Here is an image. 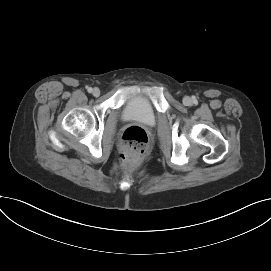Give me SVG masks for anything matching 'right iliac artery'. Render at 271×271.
<instances>
[{"mask_svg":"<svg viewBox=\"0 0 271 271\" xmlns=\"http://www.w3.org/2000/svg\"><path fill=\"white\" fill-rule=\"evenodd\" d=\"M92 88L91 87H87V91L89 92V93H91L92 92Z\"/></svg>","mask_w":271,"mask_h":271,"instance_id":"right-iliac-artery-1","label":"right iliac artery"}]
</instances>
